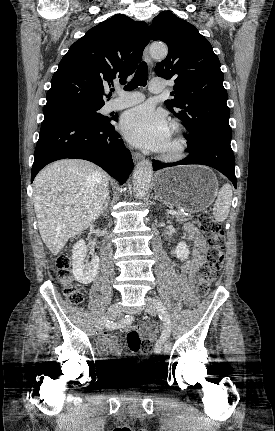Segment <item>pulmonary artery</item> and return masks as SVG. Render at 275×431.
<instances>
[{"instance_id":"pulmonary-artery-1","label":"pulmonary artery","mask_w":275,"mask_h":431,"mask_svg":"<svg viewBox=\"0 0 275 431\" xmlns=\"http://www.w3.org/2000/svg\"><path fill=\"white\" fill-rule=\"evenodd\" d=\"M164 89V84L161 80L154 79L150 82L149 90L152 93H160ZM119 97L112 99L107 104V110L113 111V110H119L126 107L133 106L135 104L140 103L143 101L144 96L141 93L138 92H131V93H125L122 91H118Z\"/></svg>"}]
</instances>
